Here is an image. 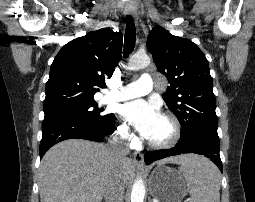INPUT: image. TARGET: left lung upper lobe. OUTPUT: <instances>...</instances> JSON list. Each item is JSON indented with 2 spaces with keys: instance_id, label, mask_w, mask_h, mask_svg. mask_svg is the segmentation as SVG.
Wrapping results in <instances>:
<instances>
[{
  "instance_id": "5c2ea615",
  "label": "left lung upper lobe",
  "mask_w": 255,
  "mask_h": 202,
  "mask_svg": "<svg viewBox=\"0 0 255 202\" xmlns=\"http://www.w3.org/2000/svg\"><path fill=\"white\" fill-rule=\"evenodd\" d=\"M147 47L170 84L163 99L182 126L180 140L218 138L216 100L203 52L189 39L173 36L160 26L150 32Z\"/></svg>"
}]
</instances>
